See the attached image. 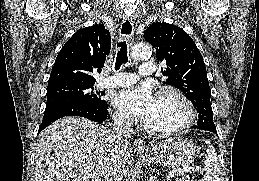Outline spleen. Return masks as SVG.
Listing matches in <instances>:
<instances>
[{"mask_svg": "<svg viewBox=\"0 0 259 181\" xmlns=\"http://www.w3.org/2000/svg\"><path fill=\"white\" fill-rule=\"evenodd\" d=\"M205 164V173L203 175L202 181H220L219 174H220V167L218 156L216 153L215 148L212 145L208 146L207 154L205 155L204 159Z\"/></svg>", "mask_w": 259, "mask_h": 181, "instance_id": "1", "label": "spleen"}]
</instances>
